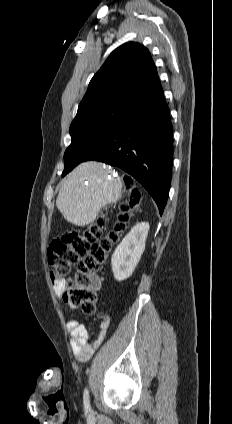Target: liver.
Segmentation results:
<instances>
[{
  "mask_svg": "<svg viewBox=\"0 0 232 424\" xmlns=\"http://www.w3.org/2000/svg\"><path fill=\"white\" fill-rule=\"evenodd\" d=\"M112 173L107 165L88 161L68 174L56 200V206L68 222L88 225L107 204L121 199L122 180L118 176L108 178Z\"/></svg>",
  "mask_w": 232,
  "mask_h": 424,
  "instance_id": "liver-1",
  "label": "liver"
}]
</instances>
